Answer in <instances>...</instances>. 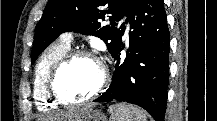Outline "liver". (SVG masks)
<instances>
[{
	"label": "liver",
	"mask_w": 217,
	"mask_h": 121,
	"mask_svg": "<svg viewBox=\"0 0 217 121\" xmlns=\"http://www.w3.org/2000/svg\"><path fill=\"white\" fill-rule=\"evenodd\" d=\"M86 113H87V111L85 112V114ZM70 118H71L70 112L60 114L59 116H57V119H59V121H67V119L70 120ZM77 119H79V117Z\"/></svg>",
	"instance_id": "obj_1"
}]
</instances>
